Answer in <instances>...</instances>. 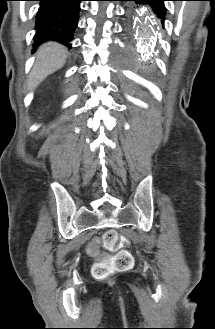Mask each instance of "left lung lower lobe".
<instances>
[{
	"instance_id": "left-lung-lower-lobe-1",
	"label": "left lung lower lobe",
	"mask_w": 215,
	"mask_h": 329,
	"mask_svg": "<svg viewBox=\"0 0 215 329\" xmlns=\"http://www.w3.org/2000/svg\"><path fill=\"white\" fill-rule=\"evenodd\" d=\"M136 3H148L152 6L154 12L157 14L158 18L161 19L162 24L165 20L166 8L164 2L168 0H132Z\"/></svg>"
}]
</instances>
